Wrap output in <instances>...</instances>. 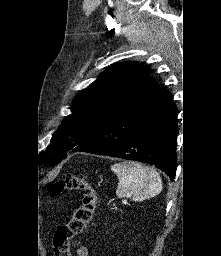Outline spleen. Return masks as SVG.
<instances>
[{"instance_id":"3e777b00","label":"spleen","mask_w":221,"mask_h":256,"mask_svg":"<svg viewBox=\"0 0 221 256\" xmlns=\"http://www.w3.org/2000/svg\"><path fill=\"white\" fill-rule=\"evenodd\" d=\"M111 170L118 177L116 195L118 198L130 197L140 202L155 197L162 190V181L155 169L140 163H116Z\"/></svg>"}]
</instances>
